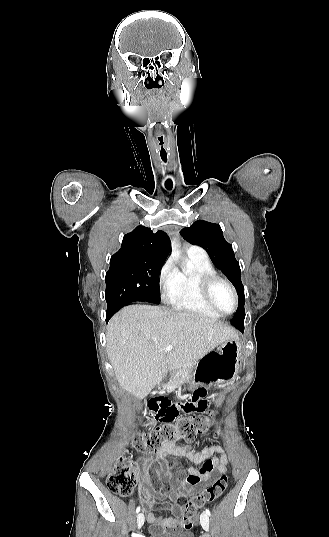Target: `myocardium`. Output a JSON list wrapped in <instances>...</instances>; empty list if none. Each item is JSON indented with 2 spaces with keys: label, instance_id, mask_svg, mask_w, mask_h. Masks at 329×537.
Returning <instances> with one entry per match:
<instances>
[{
  "label": "myocardium",
  "instance_id": "f54148a6",
  "mask_svg": "<svg viewBox=\"0 0 329 537\" xmlns=\"http://www.w3.org/2000/svg\"><path fill=\"white\" fill-rule=\"evenodd\" d=\"M199 284H200V289H201L203 299L212 310H214L215 312L223 316H228L236 312L238 305H239V297H238L236 289L234 288V286L231 284L230 281H228L227 279L217 274H202L199 277ZM218 284H223L226 287H228V289L231 291L234 297V309L231 312H228V313L223 312L216 306V304L213 301V297H212L213 289Z\"/></svg>",
  "mask_w": 329,
  "mask_h": 537
}]
</instances>
